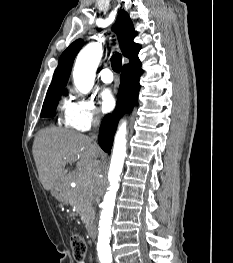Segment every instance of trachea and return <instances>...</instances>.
<instances>
[{"label":"trachea","mask_w":233,"mask_h":263,"mask_svg":"<svg viewBox=\"0 0 233 263\" xmlns=\"http://www.w3.org/2000/svg\"><path fill=\"white\" fill-rule=\"evenodd\" d=\"M111 65H112V69L115 72H120L122 67V56L120 53L116 52L115 54L112 55Z\"/></svg>","instance_id":"trachea-1"}]
</instances>
